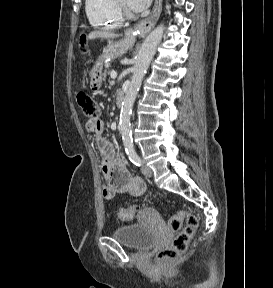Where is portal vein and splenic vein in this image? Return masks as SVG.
Returning a JSON list of instances; mask_svg holds the SVG:
<instances>
[{
    "instance_id": "18ae733b",
    "label": "portal vein and splenic vein",
    "mask_w": 273,
    "mask_h": 288,
    "mask_svg": "<svg viewBox=\"0 0 273 288\" xmlns=\"http://www.w3.org/2000/svg\"><path fill=\"white\" fill-rule=\"evenodd\" d=\"M110 76L112 79H115L117 77V72L115 70H112Z\"/></svg>"
}]
</instances>
